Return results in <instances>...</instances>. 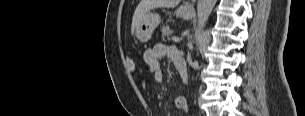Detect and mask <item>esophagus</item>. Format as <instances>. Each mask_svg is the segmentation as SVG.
<instances>
[{
  "label": "esophagus",
  "mask_w": 305,
  "mask_h": 116,
  "mask_svg": "<svg viewBox=\"0 0 305 116\" xmlns=\"http://www.w3.org/2000/svg\"><path fill=\"white\" fill-rule=\"evenodd\" d=\"M188 7H189V8H192V5H189Z\"/></svg>",
  "instance_id": "34e87169"
}]
</instances>
